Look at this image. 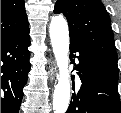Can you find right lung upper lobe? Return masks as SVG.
I'll return each instance as SVG.
<instances>
[{"label": "right lung upper lobe", "mask_w": 121, "mask_h": 113, "mask_svg": "<svg viewBox=\"0 0 121 113\" xmlns=\"http://www.w3.org/2000/svg\"><path fill=\"white\" fill-rule=\"evenodd\" d=\"M29 28L24 0H1V41Z\"/></svg>", "instance_id": "right-lung-upper-lobe-1"}]
</instances>
